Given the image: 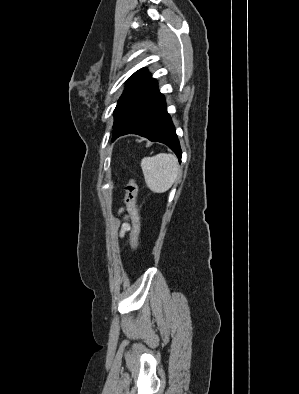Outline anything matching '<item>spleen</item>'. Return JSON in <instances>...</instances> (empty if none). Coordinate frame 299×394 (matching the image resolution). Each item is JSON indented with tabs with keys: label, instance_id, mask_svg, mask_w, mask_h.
Segmentation results:
<instances>
[{
	"label": "spleen",
	"instance_id": "3e777b00",
	"mask_svg": "<svg viewBox=\"0 0 299 394\" xmlns=\"http://www.w3.org/2000/svg\"><path fill=\"white\" fill-rule=\"evenodd\" d=\"M145 182L154 193H165L179 174V164L172 154L159 153L141 160Z\"/></svg>",
	"mask_w": 299,
	"mask_h": 394
}]
</instances>
